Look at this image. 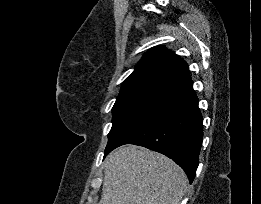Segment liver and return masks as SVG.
Segmentation results:
<instances>
[{
	"label": "liver",
	"instance_id": "1",
	"mask_svg": "<svg viewBox=\"0 0 261 204\" xmlns=\"http://www.w3.org/2000/svg\"><path fill=\"white\" fill-rule=\"evenodd\" d=\"M104 166L99 204H180L188 184L176 163L146 148L119 147Z\"/></svg>",
	"mask_w": 261,
	"mask_h": 204
}]
</instances>
